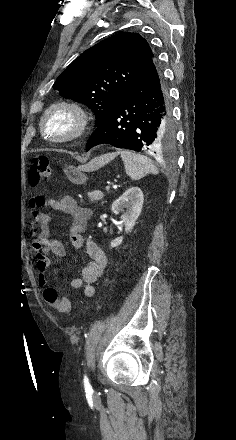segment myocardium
<instances>
[{"mask_svg":"<svg viewBox=\"0 0 236 440\" xmlns=\"http://www.w3.org/2000/svg\"><path fill=\"white\" fill-rule=\"evenodd\" d=\"M57 113L68 115L73 122L71 130L55 132L50 129V121ZM90 118L85 107L77 101L58 100L47 107L40 118V128L46 140L53 143H69L82 138L88 131Z\"/></svg>","mask_w":236,"mask_h":440,"instance_id":"myocardium-1","label":"myocardium"}]
</instances>
